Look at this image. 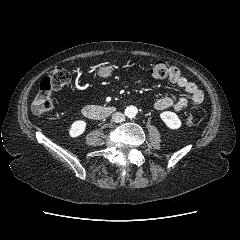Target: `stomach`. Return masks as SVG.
Returning a JSON list of instances; mask_svg holds the SVG:
<instances>
[{
  "mask_svg": "<svg viewBox=\"0 0 240 240\" xmlns=\"http://www.w3.org/2000/svg\"><path fill=\"white\" fill-rule=\"evenodd\" d=\"M99 75L102 77H108L111 74L110 67H101L98 71Z\"/></svg>",
  "mask_w": 240,
  "mask_h": 240,
  "instance_id": "1",
  "label": "stomach"
}]
</instances>
